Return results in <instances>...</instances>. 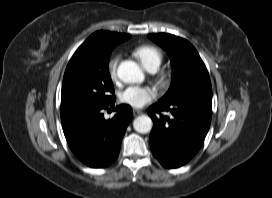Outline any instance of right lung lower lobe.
Returning a JSON list of instances; mask_svg holds the SVG:
<instances>
[{"mask_svg": "<svg viewBox=\"0 0 272 198\" xmlns=\"http://www.w3.org/2000/svg\"><path fill=\"white\" fill-rule=\"evenodd\" d=\"M115 99L104 105H86L61 110L64 135L75 156L92 168L109 166L118 157L120 145L133 113L119 105L116 115L105 120L103 110L114 107Z\"/></svg>", "mask_w": 272, "mask_h": 198, "instance_id": "right-lung-lower-lobe-1", "label": "right lung lower lobe"}]
</instances>
